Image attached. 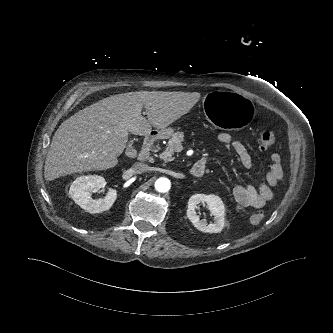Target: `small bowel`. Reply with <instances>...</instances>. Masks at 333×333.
Returning a JSON list of instances; mask_svg holds the SVG:
<instances>
[{
	"instance_id": "small-bowel-1",
	"label": "small bowel",
	"mask_w": 333,
	"mask_h": 333,
	"mask_svg": "<svg viewBox=\"0 0 333 333\" xmlns=\"http://www.w3.org/2000/svg\"><path fill=\"white\" fill-rule=\"evenodd\" d=\"M219 141L230 146L236 153L239 162L245 169L252 167V157L246 146L235 139L231 133L222 132L219 134ZM209 158H202L200 163L206 164ZM283 178L281 158L273 154L270 158V170L266 174V183L260 182L257 185H236L232 194L234 199L243 206L262 208L267 201L273 198L272 187L276 186Z\"/></svg>"
}]
</instances>
